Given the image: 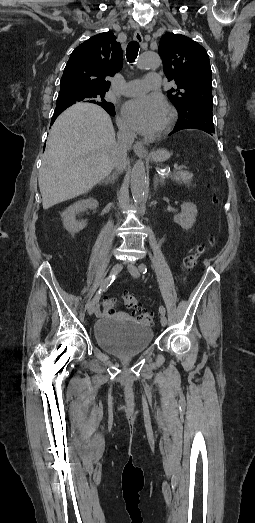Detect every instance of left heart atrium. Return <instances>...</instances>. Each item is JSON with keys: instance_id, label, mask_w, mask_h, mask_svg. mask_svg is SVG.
Masks as SVG:
<instances>
[{"instance_id": "1", "label": "left heart atrium", "mask_w": 255, "mask_h": 523, "mask_svg": "<svg viewBox=\"0 0 255 523\" xmlns=\"http://www.w3.org/2000/svg\"><path fill=\"white\" fill-rule=\"evenodd\" d=\"M165 108L158 96H143L141 100L128 101L123 108L129 124L143 134H153L157 129L160 114Z\"/></svg>"}]
</instances>
